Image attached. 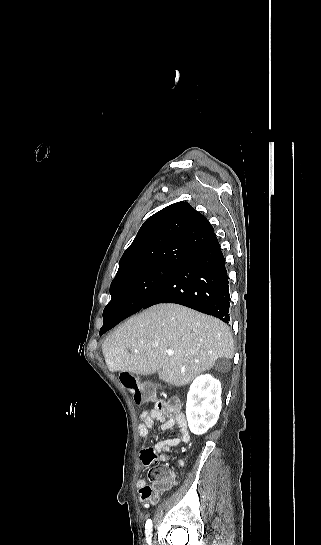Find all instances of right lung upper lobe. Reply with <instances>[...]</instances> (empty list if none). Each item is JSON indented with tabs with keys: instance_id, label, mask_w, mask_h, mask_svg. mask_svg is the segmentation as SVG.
I'll list each match as a JSON object with an SVG mask.
<instances>
[{
	"instance_id": "right-lung-upper-lobe-1",
	"label": "right lung upper lobe",
	"mask_w": 321,
	"mask_h": 545,
	"mask_svg": "<svg viewBox=\"0 0 321 545\" xmlns=\"http://www.w3.org/2000/svg\"><path fill=\"white\" fill-rule=\"evenodd\" d=\"M216 237L209 221L188 202H177L148 218L124 252L116 276L134 269L181 266Z\"/></svg>"
}]
</instances>
